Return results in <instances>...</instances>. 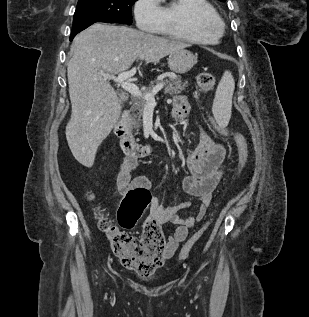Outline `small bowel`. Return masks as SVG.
Segmentation results:
<instances>
[{"label":"small bowel","instance_id":"c3829d8e","mask_svg":"<svg viewBox=\"0 0 309 317\" xmlns=\"http://www.w3.org/2000/svg\"><path fill=\"white\" fill-rule=\"evenodd\" d=\"M189 111L190 105L186 96L179 95L173 99L175 118H184ZM225 155L224 145L215 142L205 130L201 129L200 143L187 158L189 174L182 182L184 191L199 202L195 215L186 218L180 215L181 211L189 207V204L179 203L163 206L157 196L151 195L148 206L150 220L161 224L171 223L176 226L166 243L164 257H172L179 244L187 238L189 230L204 218L211 203L213 192L223 176ZM136 166L137 158L129 156L124 159L120 166L117 175V188L123 195L133 189H145L150 192L152 185L149 178L132 176Z\"/></svg>","mask_w":309,"mask_h":317}]
</instances>
